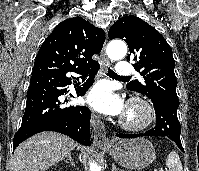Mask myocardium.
<instances>
[{
  "label": "myocardium",
  "mask_w": 199,
  "mask_h": 171,
  "mask_svg": "<svg viewBox=\"0 0 199 171\" xmlns=\"http://www.w3.org/2000/svg\"><path fill=\"white\" fill-rule=\"evenodd\" d=\"M155 119V110L151 102L143 97H133L128 101L120 122L128 131H141L149 127Z\"/></svg>",
  "instance_id": "1"
}]
</instances>
